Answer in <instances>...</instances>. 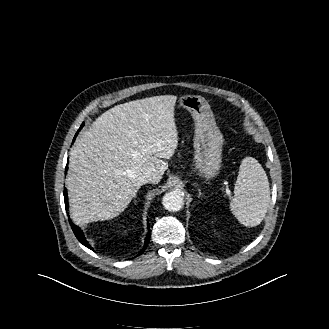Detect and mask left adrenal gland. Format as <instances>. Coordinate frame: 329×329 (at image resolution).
I'll return each instance as SVG.
<instances>
[{
    "mask_svg": "<svg viewBox=\"0 0 329 329\" xmlns=\"http://www.w3.org/2000/svg\"><path fill=\"white\" fill-rule=\"evenodd\" d=\"M198 192H199L198 197H201L203 195V193L201 192V190L199 188H198Z\"/></svg>",
    "mask_w": 329,
    "mask_h": 329,
    "instance_id": "1",
    "label": "left adrenal gland"
}]
</instances>
